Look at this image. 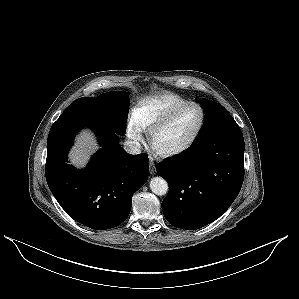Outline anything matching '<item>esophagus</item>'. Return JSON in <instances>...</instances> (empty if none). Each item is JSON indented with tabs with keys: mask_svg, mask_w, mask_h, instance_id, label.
Returning <instances> with one entry per match:
<instances>
[{
	"mask_svg": "<svg viewBox=\"0 0 299 299\" xmlns=\"http://www.w3.org/2000/svg\"><path fill=\"white\" fill-rule=\"evenodd\" d=\"M149 171L151 174H155V172H156V166H155L154 162H152V161L149 162Z\"/></svg>",
	"mask_w": 299,
	"mask_h": 299,
	"instance_id": "1",
	"label": "esophagus"
}]
</instances>
